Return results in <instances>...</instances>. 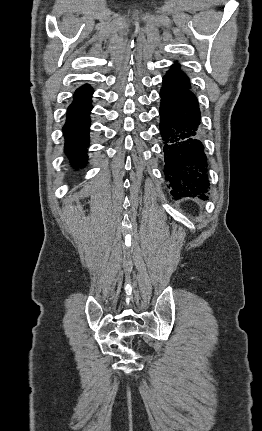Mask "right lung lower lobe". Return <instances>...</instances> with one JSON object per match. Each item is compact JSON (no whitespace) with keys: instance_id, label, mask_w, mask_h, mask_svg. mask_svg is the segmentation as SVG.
Returning <instances> with one entry per match:
<instances>
[{"instance_id":"1","label":"right lung lower lobe","mask_w":262,"mask_h":431,"mask_svg":"<svg viewBox=\"0 0 262 431\" xmlns=\"http://www.w3.org/2000/svg\"><path fill=\"white\" fill-rule=\"evenodd\" d=\"M92 93V88L88 85L76 90L63 127L65 152L75 168L82 167L87 162L86 148L89 143V113L92 109Z\"/></svg>"}]
</instances>
